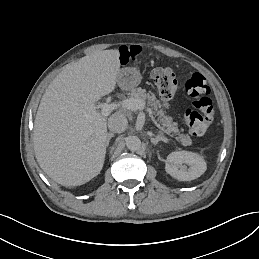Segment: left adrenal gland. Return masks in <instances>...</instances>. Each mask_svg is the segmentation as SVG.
<instances>
[{
  "label": "left adrenal gland",
  "mask_w": 259,
  "mask_h": 259,
  "mask_svg": "<svg viewBox=\"0 0 259 259\" xmlns=\"http://www.w3.org/2000/svg\"><path fill=\"white\" fill-rule=\"evenodd\" d=\"M159 141H163V142L167 143L168 139L165 136H161V135H157L155 137H151V142L154 145H157Z\"/></svg>",
  "instance_id": "left-adrenal-gland-1"
}]
</instances>
